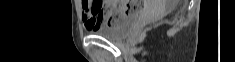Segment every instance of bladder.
Instances as JSON below:
<instances>
[{
    "label": "bladder",
    "instance_id": "31cf9c89",
    "mask_svg": "<svg viewBox=\"0 0 235 62\" xmlns=\"http://www.w3.org/2000/svg\"><path fill=\"white\" fill-rule=\"evenodd\" d=\"M135 20L136 15H129L122 18L114 25L100 26L99 28L93 30V34L112 41L120 40L127 36Z\"/></svg>",
    "mask_w": 235,
    "mask_h": 62
}]
</instances>
